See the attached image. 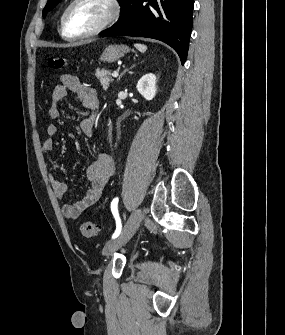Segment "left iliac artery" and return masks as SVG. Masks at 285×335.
<instances>
[{"mask_svg":"<svg viewBox=\"0 0 285 335\" xmlns=\"http://www.w3.org/2000/svg\"><path fill=\"white\" fill-rule=\"evenodd\" d=\"M111 211L116 220V231L113 234L112 238H116L120 234L122 228L121 220L118 214V198L113 199V201L111 202Z\"/></svg>","mask_w":285,"mask_h":335,"instance_id":"left-iliac-artery-1","label":"left iliac artery"}]
</instances>
